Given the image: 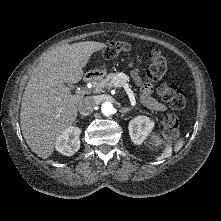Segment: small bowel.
Returning <instances> with one entry per match:
<instances>
[{"label": "small bowel", "instance_id": "small-bowel-1", "mask_svg": "<svg viewBox=\"0 0 221 221\" xmlns=\"http://www.w3.org/2000/svg\"><path fill=\"white\" fill-rule=\"evenodd\" d=\"M131 66L133 67L134 63H131ZM132 78L134 79L135 83L140 86L141 101L145 106L155 111L166 110V106L163 103L152 97V86L147 83H143L140 74L135 69L132 71Z\"/></svg>", "mask_w": 221, "mask_h": 221}]
</instances>
